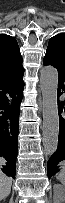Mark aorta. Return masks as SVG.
Masks as SVG:
<instances>
[{"mask_svg": "<svg viewBox=\"0 0 65 203\" xmlns=\"http://www.w3.org/2000/svg\"><path fill=\"white\" fill-rule=\"evenodd\" d=\"M42 93V143L46 155H53L58 148L59 115L57 105L58 72L53 66H45L40 71Z\"/></svg>", "mask_w": 65, "mask_h": 203, "instance_id": "obj_1", "label": "aorta"}]
</instances>
